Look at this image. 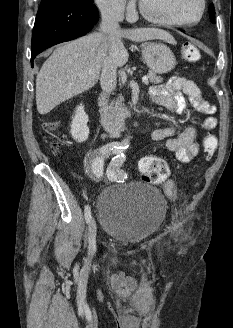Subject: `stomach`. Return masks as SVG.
I'll return each instance as SVG.
<instances>
[{
    "label": "stomach",
    "mask_w": 233,
    "mask_h": 328,
    "mask_svg": "<svg viewBox=\"0 0 233 328\" xmlns=\"http://www.w3.org/2000/svg\"><path fill=\"white\" fill-rule=\"evenodd\" d=\"M141 47L143 58L153 72L164 74L175 67V56L167 45L160 42H145Z\"/></svg>",
    "instance_id": "obj_1"
}]
</instances>
